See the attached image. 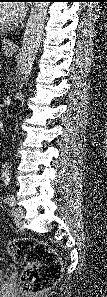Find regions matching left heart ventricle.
Segmentation results:
<instances>
[{
    "label": "left heart ventricle",
    "mask_w": 107,
    "mask_h": 297,
    "mask_svg": "<svg viewBox=\"0 0 107 297\" xmlns=\"http://www.w3.org/2000/svg\"><path fill=\"white\" fill-rule=\"evenodd\" d=\"M2 8V9H1ZM0 24L1 23H8L9 19L5 13L4 6H0Z\"/></svg>",
    "instance_id": "b2bd125f"
}]
</instances>
